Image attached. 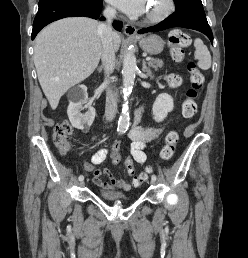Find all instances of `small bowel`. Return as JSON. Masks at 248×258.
Returning a JSON list of instances; mask_svg holds the SVG:
<instances>
[{
    "label": "small bowel",
    "instance_id": "small-bowel-1",
    "mask_svg": "<svg viewBox=\"0 0 248 258\" xmlns=\"http://www.w3.org/2000/svg\"><path fill=\"white\" fill-rule=\"evenodd\" d=\"M172 81L179 82V77H173ZM160 128H145L139 125H134L130 132L129 138L131 140L130 154L134 155V161L140 165H143L147 160L145 148L148 142L154 139L159 133ZM107 156L106 149H100L92 155L91 163L85 164V169L93 172V182L98 187L105 190H113L115 188L122 189L124 191L131 190L136 184H131L125 180H116L112 178L109 171L104 169L100 170L96 168L101 164ZM106 174L111 178L110 182H106L101 179V175Z\"/></svg>",
    "mask_w": 248,
    "mask_h": 258
}]
</instances>
